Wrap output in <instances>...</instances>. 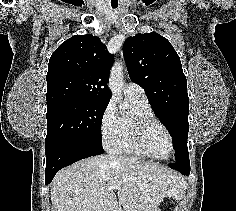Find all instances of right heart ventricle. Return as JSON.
<instances>
[{"label": "right heart ventricle", "mask_w": 236, "mask_h": 211, "mask_svg": "<svg viewBox=\"0 0 236 211\" xmlns=\"http://www.w3.org/2000/svg\"><path fill=\"white\" fill-rule=\"evenodd\" d=\"M128 100L130 101L132 107V113L129 116L119 117V133L111 146V150L116 153H129L139 155L129 141V120L135 114L143 115L153 119H155V115L150 105L148 104V101L140 102L133 99Z\"/></svg>", "instance_id": "obj_1"}]
</instances>
